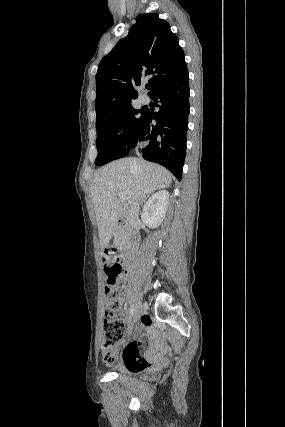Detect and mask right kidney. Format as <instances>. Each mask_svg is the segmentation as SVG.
I'll use <instances>...</instances> for the list:
<instances>
[{
	"label": "right kidney",
	"instance_id": "obj_1",
	"mask_svg": "<svg viewBox=\"0 0 285 427\" xmlns=\"http://www.w3.org/2000/svg\"><path fill=\"white\" fill-rule=\"evenodd\" d=\"M169 192L161 190L153 194L143 207L142 220L149 228H157L165 218Z\"/></svg>",
	"mask_w": 285,
	"mask_h": 427
}]
</instances>
